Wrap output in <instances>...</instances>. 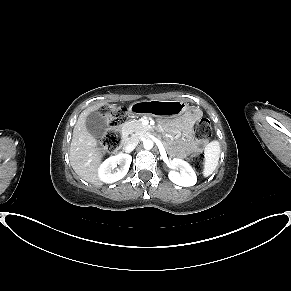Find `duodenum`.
<instances>
[{"mask_svg":"<svg viewBox=\"0 0 291 291\" xmlns=\"http://www.w3.org/2000/svg\"><path fill=\"white\" fill-rule=\"evenodd\" d=\"M126 144H127V140L123 139L121 141V143L118 145V148L114 149V152H117L118 154H121L124 151Z\"/></svg>","mask_w":291,"mask_h":291,"instance_id":"obj_1","label":"duodenum"}]
</instances>
